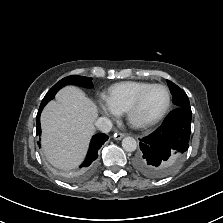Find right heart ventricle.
Returning <instances> with one entry per match:
<instances>
[{
    "mask_svg": "<svg viewBox=\"0 0 223 223\" xmlns=\"http://www.w3.org/2000/svg\"><path fill=\"white\" fill-rule=\"evenodd\" d=\"M151 84L145 81H124L116 83L108 89L106 100L118 113H124L137 95Z\"/></svg>",
    "mask_w": 223,
    "mask_h": 223,
    "instance_id": "1",
    "label": "right heart ventricle"
}]
</instances>
